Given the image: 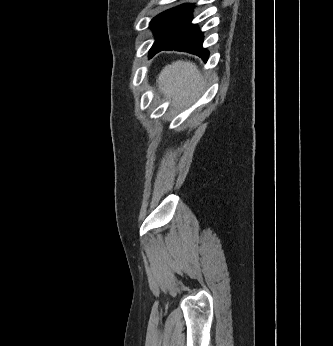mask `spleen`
Listing matches in <instances>:
<instances>
[{"instance_id":"1","label":"spleen","mask_w":333,"mask_h":346,"mask_svg":"<svg viewBox=\"0 0 333 346\" xmlns=\"http://www.w3.org/2000/svg\"><path fill=\"white\" fill-rule=\"evenodd\" d=\"M156 82L166 99L173 98L174 105L195 101L205 86V79L197 66L181 60L165 66Z\"/></svg>"}]
</instances>
